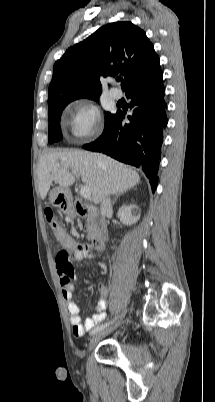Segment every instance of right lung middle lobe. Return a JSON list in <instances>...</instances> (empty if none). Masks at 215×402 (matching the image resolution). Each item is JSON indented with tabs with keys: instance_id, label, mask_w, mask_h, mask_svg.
<instances>
[{
	"instance_id": "1",
	"label": "right lung middle lobe",
	"mask_w": 215,
	"mask_h": 402,
	"mask_svg": "<svg viewBox=\"0 0 215 402\" xmlns=\"http://www.w3.org/2000/svg\"><path fill=\"white\" fill-rule=\"evenodd\" d=\"M98 97H99V95L88 97V98L97 100ZM75 99H77V98L63 97V98L55 99L48 104V109H49L48 141L50 143L56 142L62 138V133L60 130L61 113H62L63 109L66 107V105ZM113 115L114 114H111L108 112L106 113L105 124L109 121V119Z\"/></svg>"
}]
</instances>
